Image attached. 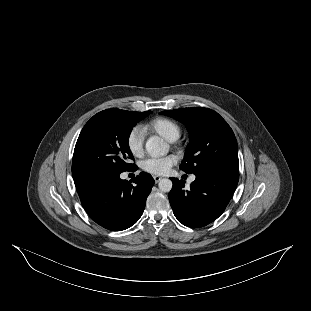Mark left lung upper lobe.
<instances>
[{
	"instance_id": "5c2ea615",
	"label": "left lung upper lobe",
	"mask_w": 311,
	"mask_h": 311,
	"mask_svg": "<svg viewBox=\"0 0 311 311\" xmlns=\"http://www.w3.org/2000/svg\"><path fill=\"white\" fill-rule=\"evenodd\" d=\"M185 124L190 133L180 169L186 173H201L215 168H239L238 145L227 122L207 108H182L162 111Z\"/></svg>"
}]
</instances>
